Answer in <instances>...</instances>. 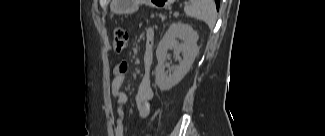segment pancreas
I'll use <instances>...</instances> for the list:
<instances>
[{"instance_id": "cf45deb5", "label": "pancreas", "mask_w": 325, "mask_h": 136, "mask_svg": "<svg viewBox=\"0 0 325 136\" xmlns=\"http://www.w3.org/2000/svg\"><path fill=\"white\" fill-rule=\"evenodd\" d=\"M151 18L156 19V22L158 24H164L166 22V19L170 18L169 12H152Z\"/></svg>"}]
</instances>
